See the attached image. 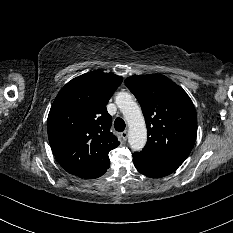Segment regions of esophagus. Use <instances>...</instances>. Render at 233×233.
Here are the masks:
<instances>
[{"label":"esophagus","mask_w":233,"mask_h":233,"mask_svg":"<svg viewBox=\"0 0 233 233\" xmlns=\"http://www.w3.org/2000/svg\"><path fill=\"white\" fill-rule=\"evenodd\" d=\"M121 137H122V139H123L124 141H126L127 138H128V131H127V130L123 131V132L121 133Z\"/></svg>","instance_id":"1"}]
</instances>
